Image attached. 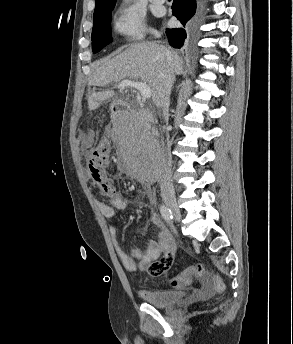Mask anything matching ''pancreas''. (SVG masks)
I'll return each mask as SVG.
<instances>
[{
  "instance_id": "pancreas-1",
  "label": "pancreas",
  "mask_w": 293,
  "mask_h": 344,
  "mask_svg": "<svg viewBox=\"0 0 293 344\" xmlns=\"http://www.w3.org/2000/svg\"><path fill=\"white\" fill-rule=\"evenodd\" d=\"M143 130H141V128L135 129V130H131V138L134 140L138 135H140L142 133Z\"/></svg>"
}]
</instances>
